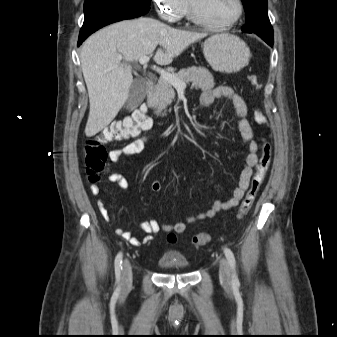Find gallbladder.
Segmentation results:
<instances>
[{
  "label": "gallbladder",
  "instance_id": "1",
  "mask_svg": "<svg viewBox=\"0 0 337 337\" xmlns=\"http://www.w3.org/2000/svg\"><path fill=\"white\" fill-rule=\"evenodd\" d=\"M146 81L143 78H137L133 81L127 100V107L130 109L136 108L145 96Z\"/></svg>",
  "mask_w": 337,
  "mask_h": 337
}]
</instances>
